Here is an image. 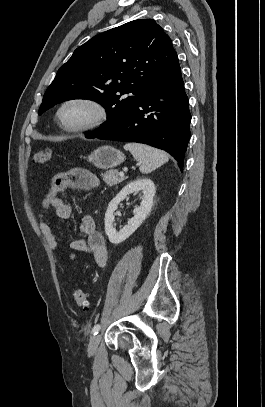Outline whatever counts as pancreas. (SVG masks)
Listing matches in <instances>:
<instances>
[{
  "instance_id": "1",
  "label": "pancreas",
  "mask_w": 265,
  "mask_h": 407,
  "mask_svg": "<svg viewBox=\"0 0 265 407\" xmlns=\"http://www.w3.org/2000/svg\"><path fill=\"white\" fill-rule=\"evenodd\" d=\"M101 176L103 181L109 186L117 185L125 179L124 177H120L117 171H107Z\"/></svg>"
}]
</instances>
